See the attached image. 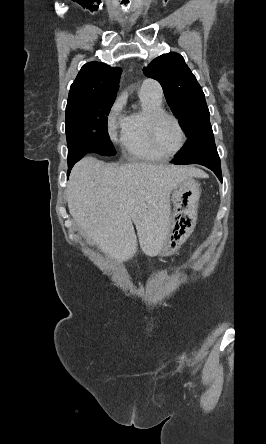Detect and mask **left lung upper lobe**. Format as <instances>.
I'll return each instance as SVG.
<instances>
[{
    "instance_id": "left-lung-upper-lobe-1",
    "label": "left lung upper lobe",
    "mask_w": 266,
    "mask_h": 444,
    "mask_svg": "<svg viewBox=\"0 0 266 444\" xmlns=\"http://www.w3.org/2000/svg\"><path fill=\"white\" fill-rule=\"evenodd\" d=\"M143 72L159 81L167 103L189 138L211 126L202 88L180 54L161 55L143 68Z\"/></svg>"
}]
</instances>
